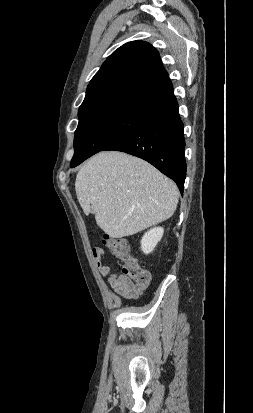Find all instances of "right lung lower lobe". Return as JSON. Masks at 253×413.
Here are the masks:
<instances>
[{
  "label": "right lung lower lobe",
  "instance_id": "98d812e1",
  "mask_svg": "<svg viewBox=\"0 0 253 413\" xmlns=\"http://www.w3.org/2000/svg\"><path fill=\"white\" fill-rule=\"evenodd\" d=\"M183 123L177 101L150 115L132 132L105 150L125 152L142 158L173 179L181 193L186 178Z\"/></svg>",
  "mask_w": 253,
  "mask_h": 413
}]
</instances>
